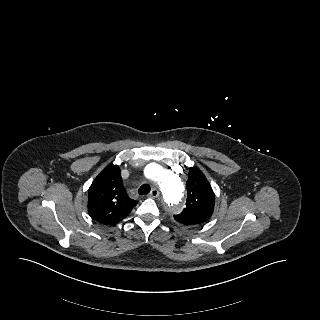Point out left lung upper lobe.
<instances>
[{"instance_id":"5c2ea615","label":"left lung upper lobe","mask_w":320,"mask_h":320,"mask_svg":"<svg viewBox=\"0 0 320 320\" xmlns=\"http://www.w3.org/2000/svg\"><path fill=\"white\" fill-rule=\"evenodd\" d=\"M186 189V207L174 218L183 225L202 224L213 213L215 196L208 180L198 168H190Z\"/></svg>"}]
</instances>
